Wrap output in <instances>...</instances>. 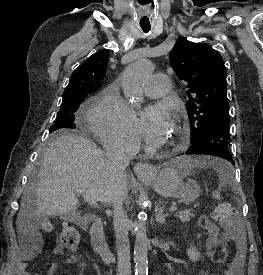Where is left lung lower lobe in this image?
I'll return each instance as SVG.
<instances>
[{"instance_id":"obj_1","label":"left lung lower lobe","mask_w":263,"mask_h":275,"mask_svg":"<svg viewBox=\"0 0 263 275\" xmlns=\"http://www.w3.org/2000/svg\"><path fill=\"white\" fill-rule=\"evenodd\" d=\"M229 122L230 120L217 121L201 136L191 141V146L185 151V154L213 155L226 159L235 165L230 149Z\"/></svg>"}]
</instances>
